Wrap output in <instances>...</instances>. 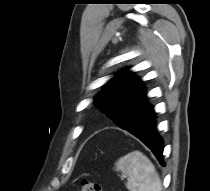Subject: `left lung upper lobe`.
<instances>
[{"label":"left lung upper lobe","mask_w":210,"mask_h":191,"mask_svg":"<svg viewBox=\"0 0 210 191\" xmlns=\"http://www.w3.org/2000/svg\"><path fill=\"white\" fill-rule=\"evenodd\" d=\"M106 83V88L95 98L94 104L121 128L132 132L136 129V120L130 119L131 110L146 99L143 82L133 72H124Z\"/></svg>","instance_id":"1"}]
</instances>
